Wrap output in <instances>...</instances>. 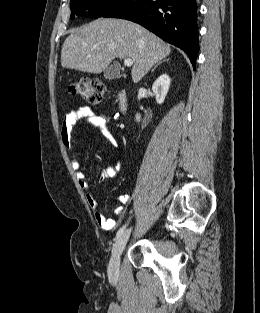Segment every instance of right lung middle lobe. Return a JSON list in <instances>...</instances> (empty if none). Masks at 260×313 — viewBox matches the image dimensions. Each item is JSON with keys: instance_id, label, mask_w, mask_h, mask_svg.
I'll return each instance as SVG.
<instances>
[{"instance_id": "dd1d6c3e", "label": "right lung middle lobe", "mask_w": 260, "mask_h": 313, "mask_svg": "<svg viewBox=\"0 0 260 313\" xmlns=\"http://www.w3.org/2000/svg\"><path fill=\"white\" fill-rule=\"evenodd\" d=\"M122 1L124 0H70L71 18L74 16L103 17Z\"/></svg>"}]
</instances>
